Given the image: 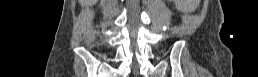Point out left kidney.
Instances as JSON below:
<instances>
[{
    "mask_svg": "<svg viewBox=\"0 0 258 77\" xmlns=\"http://www.w3.org/2000/svg\"><path fill=\"white\" fill-rule=\"evenodd\" d=\"M176 3L177 9L182 12H191L194 10L192 0H174Z\"/></svg>",
    "mask_w": 258,
    "mask_h": 77,
    "instance_id": "left-kidney-1",
    "label": "left kidney"
}]
</instances>
